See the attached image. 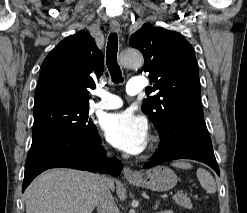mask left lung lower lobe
I'll return each mask as SVG.
<instances>
[{"instance_id": "obj_1", "label": "left lung lower lobe", "mask_w": 247, "mask_h": 213, "mask_svg": "<svg viewBox=\"0 0 247 213\" xmlns=\"http://www.w3.org/2000/svg\"><path fill=\"white\" fill-rule=\"evenodd\" d=\"M160 137L159 149L143 168L175 159H193L206 163L220 174L204 119L178 118Z\"/></svg>"}]
</instances>
